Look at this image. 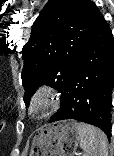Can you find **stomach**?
I'll use <instances>...</instances> for the list:
<instances>
[{"label":"stomach","mask_w":114,"mask_h":156,"mask_svg":"<svg viewBox=\"0 0 114 156\" xmlns=\"http://www.w3.org/2000/svg\"><path fill=\"white\" fill-rule=\"evenodd\" d=\"M77 125L65 120L42 127L33 137L29 156H74L80 143Z\"/></svg>","instance_id":"0dacf381"}]
</instances>
